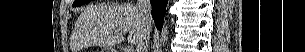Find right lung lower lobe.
Segmentation results:
<instances>
[{
  "mask_svg": "<svg viewBox=\"0 0 305 52\" xmlns=\"http://www.w3.org/2000/svg\"><path fill=\"white\" fill-rule=\"evenodd\" d=\"M168 0H152V17L158 30H161Z\"/></svg>",
  "mask_w": 305,
  "mask_h": 52,
  "instance_id": "obj_1",
  "label": "right lung lower lobe"
}]
</instances>
